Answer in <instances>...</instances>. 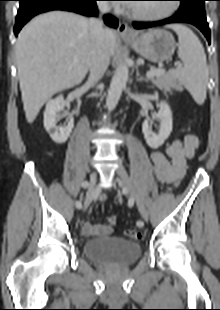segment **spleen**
I'll use <instances>...</instances> for the list:
<instances>
[{"label":"spleen","instance_id":"3e777b00","mask_svg":"<svg viewBox=\"0 0 220 310\" xmlns=\"http://www.w3.org/2000/svg\"><path fill=\"white\" fill-rule=\"evenodd\" d=\"M179 40L178 57L183 66L175 70L178 81L190 92L195 102L203 104L206 99L208 66L204 48L191 29L182 24H172Z\"/></svg>","mask_w":220,"mask_h":310}]
</instances>
